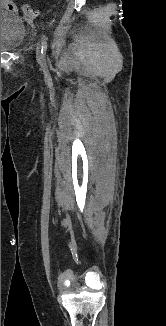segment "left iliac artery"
I'll use <instances>...</instances> for the list:
<instances>
[{"instance_id": "1", "label": "left iliac artery", "mask_w": 166, "mask_h": 326, "mask_svg": "<svg viewBox=\"0 0 166 326\" xmlns=\"http://www.w3.org/2000/svg\"><path fill=\"white\" fill-rule=\"evenodd\" d=\"M47 50V43H46V38L45 36L42 34L41 35V53L45 54Z\"/></svg>"}]
</instances>
